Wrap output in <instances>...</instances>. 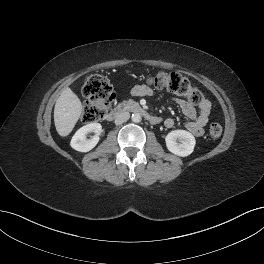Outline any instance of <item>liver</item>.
Masks as SVG:
<instances>
[{"instance_id":"6515ba94","label":"liver","mask_w":264,"mask_h":264,"mask_svg":"<svg viewBox=\"0 0 264 264\" xmlns=\"http://www.w3.org/2000/svg\"><path fill=\"white\" fill-rule=\"evenodd\" d=\"M82 109L78 96L69 87L63 89L54 108V123L60 136L65 137L71 133Z\"/></svg>"}]
</instances>
